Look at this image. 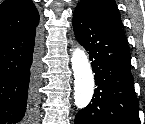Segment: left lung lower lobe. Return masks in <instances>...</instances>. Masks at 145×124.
Wrapping results in <instances>:
<instances>
[{
	"instance_id": "1",
	"label": "left lung lower lobe",
	"mask_w": 145,
	"mask_h": 124,
	"mask_svg": "<svg viewBox=\"0 0 145 124\" xmlns=\"http://www.w3.org/2000/svg\"><path fill=\"white\" fill-rule=\"evenodd\" d=\"M73 29L89 53L97 85L91 103L77 113L75 124H140L125 34L79 9L74 11Z\"/></svg>"
}]
</instances>
